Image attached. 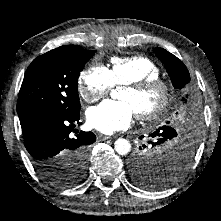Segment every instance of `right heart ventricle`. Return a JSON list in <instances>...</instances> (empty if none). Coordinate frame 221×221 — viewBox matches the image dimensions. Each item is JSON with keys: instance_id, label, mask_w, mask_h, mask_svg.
<instances>
[{"instance_id": "1", "label": "right heart ventricle", "mask_w": 221, "mask_h": 221, "mask_svg": "<svg viewBox=\"0 0 221 221\" xmlns=\"http://www.w3.org/2000/svg\"><path fill=\"white\" fill-rule=\"evenodd\" d=\"M109 73L114 84L126 85L145 79L158 78L161 72L152 60L137 55L113 58Z\"/></svg>"}]
</instances>
